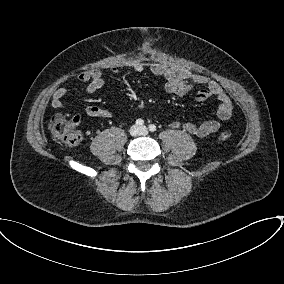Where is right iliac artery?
<instances>
[{
  "instance_id": "obj_1",
  "label": "right iliac artery",
  "mask_w": 284,
  "mask_h": 284,
  "mask_svg": "<svg viewBox=\"0 0 284 284\" xmlns=\"http://www.w3.org/2000/svg\"><path fill=\"white\" fill-rule=\"evenodd\" d=\"M144 124V121L142 119H137L136 120V125L142 126Z\"/></svg>"
}]
</instances>
